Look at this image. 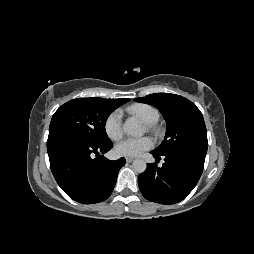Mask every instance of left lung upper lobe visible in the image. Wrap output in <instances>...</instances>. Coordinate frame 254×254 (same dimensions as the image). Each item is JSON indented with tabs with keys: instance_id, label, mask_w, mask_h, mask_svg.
Listing matches in <instances>:
<instances>
[{
	"instance_id": "1",
	"label": "left lung upper lobe",
	"mask_w": 254,
	"mask_h": 254,
	"mask_svg": "<svg viewBox=\"0 0 254 254\" xmlns=\"http://www.w3.org/2000/svg\"><path fill=\"white\" fill-rule=\"evenodd\" d=\"M135 101L159 109L167 123L165 138L153 151L161 155L188 148L207 152L208 141L204 119L200 110L191 101L170 93L150 94L135 98Z\"/></svg>"
}]
</instances>
